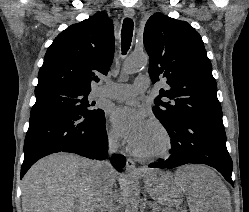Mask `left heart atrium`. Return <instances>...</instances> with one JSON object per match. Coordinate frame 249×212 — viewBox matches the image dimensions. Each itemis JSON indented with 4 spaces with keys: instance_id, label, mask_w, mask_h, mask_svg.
Masks as SVG:
<instances>
[{
    "instance_id": "39dd6f15",
    "label": "left heart atrium",
    "mask_w": 249,
    "mask_h": 212,
    "mask_svg": "<svg viewBox=\"0 0 249 212\" xmlns=\"http://www.w3.org/2000/svg\"><path fill=\"white\" fill-rule=\"evenodd\" d=\"M110 121L115 133L128 147L139 152L148 125L143 115L129 106H115L111 109Z\"/></svg>"
}]
</instances>
